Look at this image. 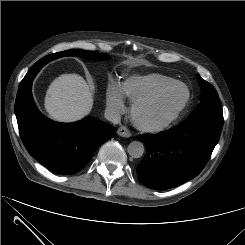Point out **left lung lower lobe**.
Wrapping results in <instances>:
<instances>
[{"mask_svg":"<svg viewBox=\"0 0 245 245\" xmlns=\"http://www.w3.org/2000/svg\"><path fill=\"white\" fill-rule=\"evenodd\" d=\"M222 127L183 122L166 132L142 135L146 155L137 167L140 181L152 189H169L193 179L209 160Z\"/></svg>","mask_w":245,"mask_h":245,"instance_id":"1","label":"left lung lower lobe"}]
</instances>
